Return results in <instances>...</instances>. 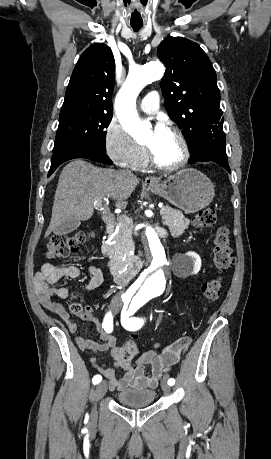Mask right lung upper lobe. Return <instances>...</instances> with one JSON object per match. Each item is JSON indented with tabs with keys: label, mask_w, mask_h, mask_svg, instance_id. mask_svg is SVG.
<instances>
[{
	"label": "right lung upper lobe",
	"mask_w": 271,
	"mask_h": 459,
	"mask_svg": "<svg viewBox=\"0 0 271 459\" xmlns=\"http://www.w3.org/2000/svg\"><path fill=\"white\" fill-rule=\"evenodd\" d=\"M114 79L115 60L111 49L101 43L91 45L73 70L60 113H113Z\"/></svg>",
	"instance_id": "right-lung-upper-lobe-1"
}]
</instances>
